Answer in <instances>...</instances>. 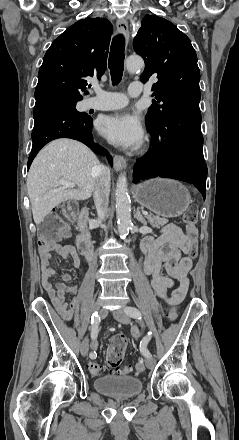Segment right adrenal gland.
Here are the masks:
<instances>
[{"mask_svg": "<svg viewBox=\"0 0 239 440\" xmlns=\"http://www.w3.org/2000/svg\"><path fill=\"white\" fill-rule=\"evenodd\" d=\"M92 210H95L94 206H92Z\"/></svg>", "mask_w": 239, "mask_h": 440, "instance_id": "right-adrenal-gland-1", "label": "right adrenal gland"}]
</instances>
